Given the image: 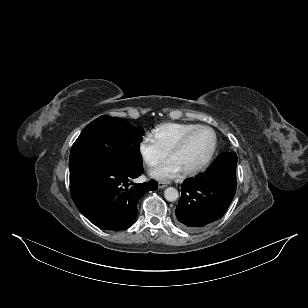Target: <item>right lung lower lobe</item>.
<instances>
[{
  "mask_svg": "<svg viewBox=\"0 0 308 308\" xmlns=\"http://www.w3.org/2000/svg\"><path fill=\"white\" fill-rule=\"evenodd\" d=\"M143 172L142 165L133 168L102 165L73 167L70 169L72 199L80 212L99 228L126 229L137 216L139 198L157 188L154 180L140 184L131 182Z\"/></svg>",
  "mask_w": 308,
  "mask_h": 308,
  "instance_id": "1",
  "label": "right lung lower lobe"
}]
</instances>
